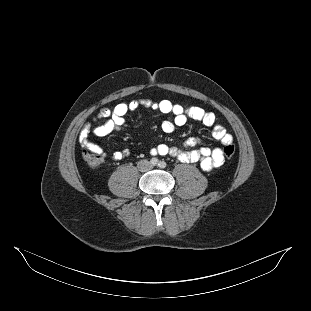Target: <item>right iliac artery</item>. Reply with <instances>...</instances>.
Listing matches in <instances>:
<instances>
[{"instance_id":"obj_1","label":"right iliac artery","mask_w":311,"mask_h":311,"mask_svg":"<svg viewBox=\"0 0 311 311\" xmlns=\"http://www.w3.org/2000/svg\"><path fill=\"white\" fill-rule=\"evenodd\" d=\"M158 162H159V161H158L157 158H152V159L150 160V163H151L153 166L157 165Z\"/></svg>"}]
</instances>
